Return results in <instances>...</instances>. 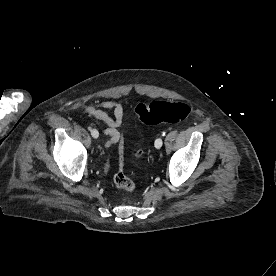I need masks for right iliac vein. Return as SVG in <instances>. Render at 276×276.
<instances>
[{"mask_svg": "<svg viewBox=\"0 0 276 276\" xmlns=\"http://www.w3.org/2000/svg\"><path fill=\"white\" fill-rule=\"evenodd\" d=\"M91 135H92L93 138H98L99 133L96 129H92L91 130Z\"/></svg>", "mask_w": 276, "mask_h": 276, "instance_id": "right-iliac-vein-1", "label": "right iliac vein"}]
</instances>
